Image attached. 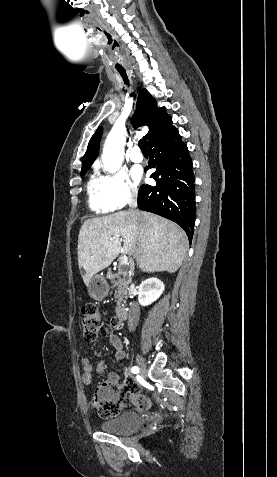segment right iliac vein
<instances>
[{"label": "right iliac vein", "mask_w": 277, "mask_h": 477, "mask_svg": "<svg viewBox=\"0 0 277 477\" xmlns=\"http://www.w3.org/2000/svg\"><path fill=\"white\" fill-rule=\"evenodd\" d=\"M136 362H137V365L139 367V370H140V374L142 376H144L147 372V367H146V363H145V360L142 356L140 355H137L136 356Z\"/></svg>", "instance_id": "63e3f726"}]
</instances>
